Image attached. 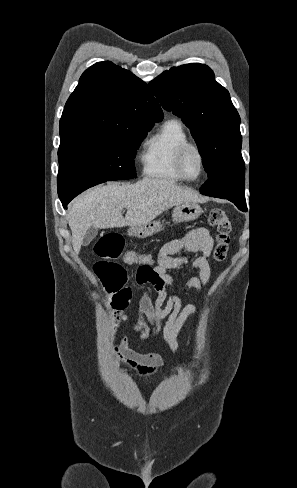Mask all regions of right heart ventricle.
<instances>
[{
	"label": "right heart ventricle",
	"instance_id": "right-heart-ventricle-1",
	"mask_svg": "<svg viewBox=\"0 0 297 488\" xmlns=\"http://www.w3.org/2000/svg\"><path fill=\"white\" fill-rule=\"evenodd\" d=\"M188 142L182 123L177 119L166 120L143 144L140 155L143 174L161 181H182L175 168V157L178 149Z\"/></svg>",
	"mask_w": 297,
	"mask_h": 488
}]
</instances>
